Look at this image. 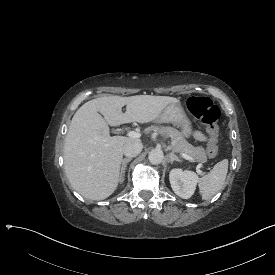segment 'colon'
<instances>
[{"mask_svg":"<svg viewBox=\"0 0 275 275\" xmlns=\"http://www.w3.org/2000/svg\"><path fill=\"white\" fill-rule=\"evenodd\" d=\"M185 109L197 120L201 121L209 137L207 155L210 158L218 152V124L220 110L206 97L191 96L184 102Z\"/></svg>","mask_w":275,"mask_h":275,"instance_id":"colon-1","label":"colon"}]
</instances>
